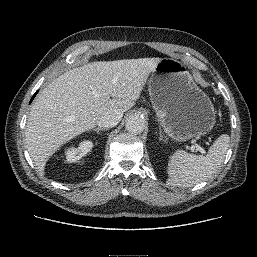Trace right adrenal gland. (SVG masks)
<instances>
[{
    "mask_svg": "<svg viewBox=\"0 0 257 257\" xmlns=\"http://www.w3.org/2000/svg\"><path fill=\"white\" fill-rule=\"evenodd\" d=\"M92 130L95 131L97 134H99L100 131H105L107 130V128L97 127V128H93Z\"/></svg>",
    "mask_w": 257,
    "mask_h": 257,
    "instance_id": "1",
    "label": "right adrenal gland"
}]
</instances>
